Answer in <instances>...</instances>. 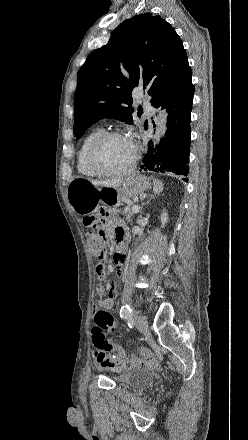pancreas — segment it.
I'll list each match as a JSON object with an SVG mask.
<instances>
[{
    "mask_svg": "<svg viewBox=\"0 0 248 440\" xmlns=\"http://www.w3.org/2000/svg\"><path fill=\"white\" fill-rule=\"evenodd\" d=\"M122 213L124 214L125 219H126L129 223H132L133 211L131 210V208L124 209V210L122 211Z\"/></svg>",
    "mask_w": 248,
    "mask_h": 440,
    "instance_id": "cf45deb5",
    "label": "pancreas"
}]
</instances>
